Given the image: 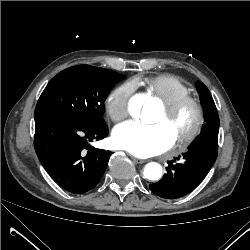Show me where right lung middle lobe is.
Here are the masks:
<instances>
[{
    "mask_svg": "<svg viewBox=\"0 0 250 250\" xmlns=\"http://www.w3.org/2000/svg\"><path fill=\"white\" fill-rule=\"evenodd\" d=\"M126 76L104 68L78 65L54 76L42 92L34 116L104 124V101L114 85Z\"/></svg>",
    "mask_w": 250,
    "mask_h": 250,
    "instance_id": "right-lung-middle-lobe-1",
    "label": "right lung middle lobe"
}]
</instances>
